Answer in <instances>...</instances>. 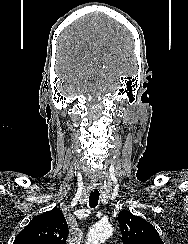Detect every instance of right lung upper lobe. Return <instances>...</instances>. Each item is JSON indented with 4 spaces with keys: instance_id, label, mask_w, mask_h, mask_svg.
I'll return each mask as SVG.
<instances>
[{
    "instance_id": "obj_1",
    "label": "right lung upper lobe",
    "mask_w": 188,
    "mask_h": 244,
    "mask_svg": "<svg viewBox=\"0 0 188 244\" xmlns=\"http://www.w3.org/2000/svg\"><path fill=\"white\" fill-rule=\"evenodd\" d=\"M68 225L60 209L35 216L16 236L13 244H65Z\"/></svg>"
}]
</instances>
